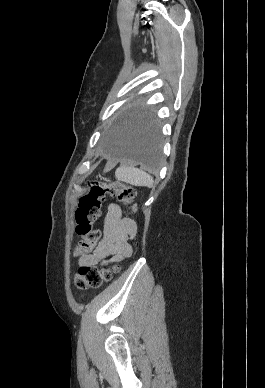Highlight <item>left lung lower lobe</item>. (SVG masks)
Returning a JSON list of instances; mask_svg holds the SVG:
<instances>
[{
  "label": "left lung lower lobe",
  "mask_w": 265,
  "mask_h": 388,
  "mask_svg": "<svg viewBox=\"0 0 265 388\" xmlns=\"http://www.w3.org/2000/svg\"><path fill=\"white\" fill-rule=\"evenodd\" d=\"M161 136L154 117L146 111L121 116L105 140L111 155L155 169L160 161Z\"/></svg>",
  "instance_id": "obj_1"
}]
</instances>
